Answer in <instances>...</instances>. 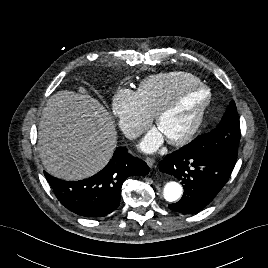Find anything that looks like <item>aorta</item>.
Segmentation results:
<instances>
[{
	"label": "aorta",
	"instance_id": "762f6f07",
	"mask_svg": "<svg viewBox=\"0 0 268 268\" xmlns=\"http://www.w3.org/2000/svg\"><path fill=\"white\" fill-rule=\"evenodd\" d=\"M183 193L182 186L175 181L167 182L163 189L164 199L168 202L177 201Z\"/></svg>",
	"mask_w": 268,
	"mask_h": 268
}]
</instances>
